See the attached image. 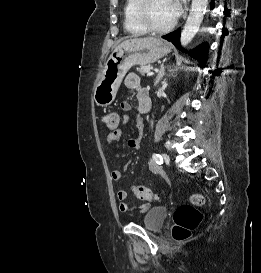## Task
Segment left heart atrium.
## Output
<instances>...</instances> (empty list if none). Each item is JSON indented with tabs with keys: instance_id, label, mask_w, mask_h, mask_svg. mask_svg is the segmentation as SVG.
<instances>
[{
	"instance_id": "1",
	"label": "left heart atrium",
	"mask_w": 261,
	"mask_h": 273,
	"mask_svg": "<svg viewBox=\"0 0 261 273\" xmlns=\"http://www.w3.org/2000/svg\"><path fill=\"white\" fill-rule=\"evenodd\" d=\"M171 1H172L174 15L175 17H177L181 12V2L180 0H171Z\"/></svg>"
}]
</instances>
